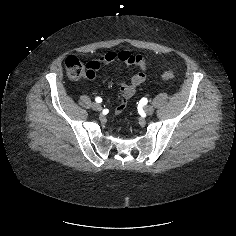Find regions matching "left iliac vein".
Masks as SVG:
<instances>
[{
	"label": "left iliac vein",
	"mask_w": 236,
	"mask_h": 236,
	"mask_svg": "<svg viewBox=\"0 0 236 236\" xmlns=\"http://www.w3.org/2000/svg\"><path fill=\"white\" fill-rule=\"evenodd\" d=\"M144 111L147 115H151L154 112V108L151 105H146Z\"/></svg>",
	"instance_id": "obj_1"
}]
</instances>
